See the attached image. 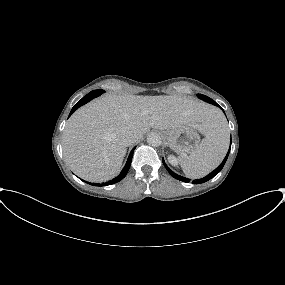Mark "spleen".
I'll return each instance as SVG.
<instances>
[{
    "mask_svg": "<svg viewBox=\"0 0 285 285\" xmlns=\"http://www.w3.org/2000/svg\"><path fill=\"white\" fill-rule=\"evenodd\" d=\"M230 142L227 122L219 113L215 128L190 155H180L179 163L189 178H201L214 170L224 159Z\"/></svg>",
    "mask_w": 285,
    "mask_h": 285,
    "instance_id": "3e777b00",
    "label": "spleen"
}]
</instances>
